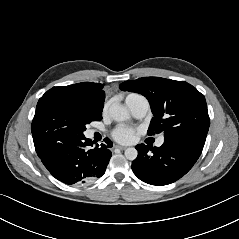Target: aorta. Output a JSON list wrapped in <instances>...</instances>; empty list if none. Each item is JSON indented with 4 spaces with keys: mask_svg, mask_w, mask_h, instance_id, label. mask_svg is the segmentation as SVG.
<instances>
[{
    "mask_svg": "<svg viewBox=\"0 0 239 239\" xmlns=\"http://www.w3.org/2000/svg\"><path fill=\"white\" fill-rule=\"evenodd\" d=\"M110 116L116 122H123L129 119V111L122 106H115L110 108ZM125 157L128 160H135L137 158L138 152L134 147L127 148L124 152Z\"/></svg>",
    "mask_w": 239,
    "mask_h": 239,
    "instance_id": "1",
    "label": "aorta"
}]
</instances>
